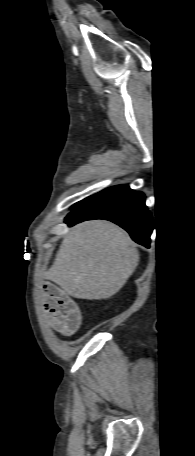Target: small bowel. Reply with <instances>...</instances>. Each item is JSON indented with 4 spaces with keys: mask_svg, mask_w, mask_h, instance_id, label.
Listing matches in <instances>:
<instances>
[{
    "mask_svg": "<svg viewBox=\"0 0 195 456\" xmlns=\"http://www.w3.org/2000/svg\"><path fill=\"white\" fill-rule=\"evenodd\" d=\"M42 304L50 327L63 335L73 334L81 324V311L76 303L50 282L43 284Z\"/></svg>",
    "mask_w": 195,
    "mask_h": 456,
    "instance_id": "1",
    "label": "small bowel"
}]
</instances>
